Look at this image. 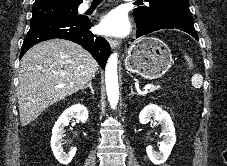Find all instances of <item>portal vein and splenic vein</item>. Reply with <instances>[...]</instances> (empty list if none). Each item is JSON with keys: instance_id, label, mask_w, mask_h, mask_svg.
Listing matches in <instances>:
<instances>
[{"instance_id": "1", "label": "portal vein and splenic vein", "mask_w": 227, "mask_h": 166, "mask_svg": "<svg viewBox=\"0 0 227 166\" xmlns=\"http://www.w3.org/2000/svg\"><path fill=\"white\" fill-rule=\"evenodd\" d=\"M152 87H153V85L148 84V85H146V86L144 87V89H145V90H149V89H151Z\"/></svg>"}]
</instances>
